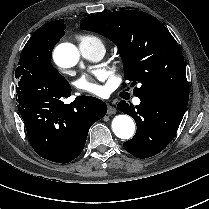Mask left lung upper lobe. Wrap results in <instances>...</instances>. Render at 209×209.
I'll return each instance as SVG.
<instances>
[{"instance_id": "5c2ea615", "label": "left lung upper lobe", "mask_w": 209, "mask_h": 209, "mask_svg": "<svg viewBox=\"0 0 209 209\" xmlns=\"http://www.w3.org/2000/svg\"><path fill=\"white\" fill-rule=\"evenodd\" d=\"M80 25L117 45L124 62L125 79L132 86L141 84L134 89L135 96L159 93L188 100L182 51L157 18L137 10H123L85 17Z\"/></svg>"}]
</instances>
